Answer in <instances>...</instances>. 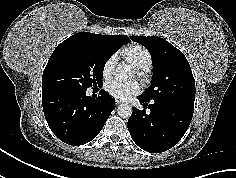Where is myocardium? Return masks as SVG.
<instances>
[{"label":"myocardium","instance_id":"1","mask_svg":"<svg viewBox=\"0 0 236 178\" xmlns=\"http://www.w3.org/2000/svg\"><path fill=\"white\" fill-rule=\"evenodd\" d=\"M137 75L138 76H144L145 75V71L142 68H137Z\"/></svg>","mask_w":236,"mask_h":178}]
</instances>
